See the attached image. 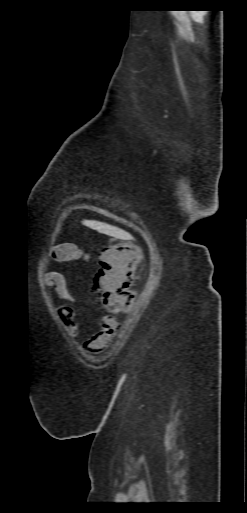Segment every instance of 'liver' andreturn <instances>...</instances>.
I'll list each match as a JSON object with an SVG mask.
<instances>
[{"instance_id": "6515ba94", "label": "liver", "mask_w": 247, "mask_h": 513, "mask_svg": "<svg viewBox=\"0 0 247 513\" xmlns=\"http://www.w3.org/2000/svg\"><path fill=\"white\" fill-rule=\"evenodd\" d=\"M82 224L93 230H97L99 233L106 234L115 238L130 239L131 237V235L128 232L116 226L109 225L107 223L95 220H83Z\"/></svg>"}]
</instances>
